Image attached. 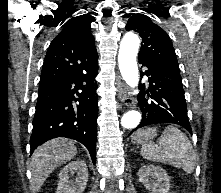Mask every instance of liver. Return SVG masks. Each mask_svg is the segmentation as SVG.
Returning <instances> with one entry per match:
<instances>
[{
	"instance_id": "1",
	"label": "liver",
	"mask_w": 221,
	"mask_h": 193,
	"mask_svg": "<svg viewBox=\"0 0 221 193\" xmlns=\"http://www.w3.org/2000/svg\"><path fill=\"white\" fill-rule=\"evenodd\" d=\"M76 154L74 141L68 138H55L39 146L30 161L31 185L34 190L39 191L49 174L60 165L72 160Z\"/></svg>"
}]
</instances>
